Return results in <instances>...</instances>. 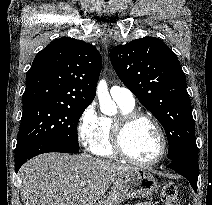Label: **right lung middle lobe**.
<instances>
[{"instance_id":"right-lung-middle-lobe-1","label":"right lung middle lobe","mask_w":212,"mask_h":205,"mask_svg":"<svg viewBox=\"0 0 212 205\" xmlns=\"http://www.w3.org/2000/svg\"><path fill=\"white\" fill-rule=\"evenodd\" d=\"M87 106L51 101L24 102L15 151L41 141L79 147L77 125Z\"/></svg>"}]
</instances>
